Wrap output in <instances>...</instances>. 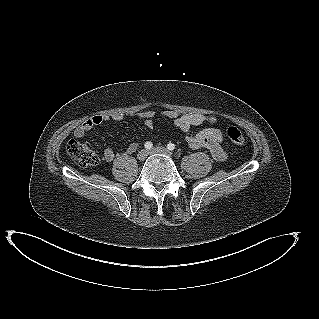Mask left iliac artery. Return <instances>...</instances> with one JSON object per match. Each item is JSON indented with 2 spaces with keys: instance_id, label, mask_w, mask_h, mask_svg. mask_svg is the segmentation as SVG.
Segmentation results:
<instances>
[{
  "instance_id": "44dca946",
  "label": "left iliac artery",
  "mask_w": 319,
  "mask_h": 319,
  "mask_svg": "<svg viewBox=\"0 0 319 319\" xmlns=\"http://www.w3.org/2000/svg\"><path fill=\"white\" fill-rule=\"evenodd\" d=\"M167 148L172 151V150L175 149V145H174L173 143H169V144L167 145Z\"/></svg>"
}]
</instances>
